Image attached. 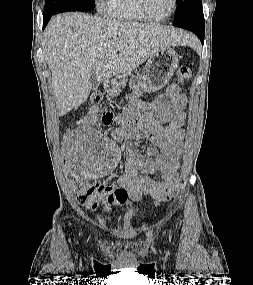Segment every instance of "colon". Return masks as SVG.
I'll return each mask as SVG.
<instances>
[{
    "mask_svg": "<svg viewBox=\"0 0 253 285\" xmlns=\"http://www.w3.org/2000/svg\"><path fill=\"white\" fill-rule=\"evenodd\" d=\"M178 80L183 82L191 78V69L186 65H182L177 71ZM97 120V112L92 109L87 117L88 122ZM126 124V120L121 121ZM75 137L73 130L69 129L65 132L64 140L61 144L64 145L62 157L65 160L61 161L63 167L60 168L61 172H65L67 180H71L72 188L77 201L88 209H95L98 206H108L113 203H124L127 199V191L122 187H113L99 183H87L82 180L86 179L85 175H79L77 167H75L74 159L72 158L73 151L76 150V144L73 143Z\"/></svg>",
    "mask_w": 253,
    "mask_h": 285,
    "instance_id": "1",
    "label": "colon"
}]
</instances>
